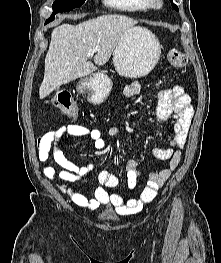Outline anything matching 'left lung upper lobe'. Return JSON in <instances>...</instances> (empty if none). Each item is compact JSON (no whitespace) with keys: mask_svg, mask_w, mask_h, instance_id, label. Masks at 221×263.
Instances as JSON below:
<instances>
[{"mask_svg":"<svg viewBox=\"0 0 221 263\" xmlns=\"http://www.w3.org/2000/svg\"><path fill=\"white\" fill-rule=\"evenodd\" d=\"M171 4H172L173 8L178 11L177 5H175V4L172 2V0H171Z\"/></svg>","mask_w":221,"mask_h":263,"instance_id":"left-lung-upper-lobe-1","label":"left lung upper lobe"}]
</instances>
